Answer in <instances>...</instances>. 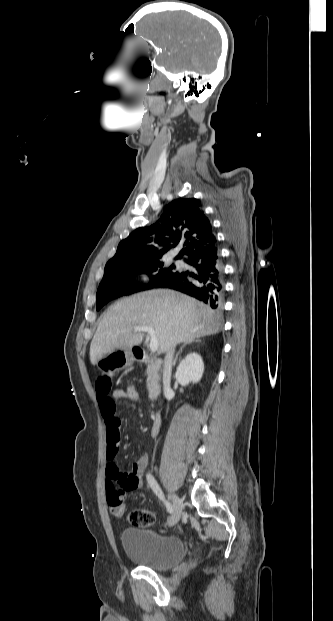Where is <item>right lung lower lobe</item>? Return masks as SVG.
<instances>
[{
    "label": "right lung lower lobe",
    "instance_id": "1",
    "mask_svg": "<svg viewBox=\"0 0 333 621\" xmlns=\"http://www.w3.org/2000/svg\"><path fill=\"white\" fill-rule=\"evenodd\" d=\"M184 260L192 269L175 271L159 287L183 292L213 309H220L224 297V268L217 244L186 254Z\"/></svg>",
    "mask_w": 333,
    "mask_h": 621
}]
</instances>
